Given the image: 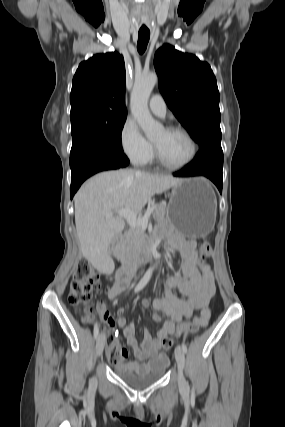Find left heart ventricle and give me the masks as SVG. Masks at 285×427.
<instances>
[{"label": "left heart ventricle", "instance_id": "left-heart-ventricle-1", "mask_svg": "<svg viewBox=\"0 0 285 427\" xmlns=\"http://www.w3.org/2000/svg\"><path fill=\"white\" fill-rule=\"evenodd\" d=\"M152 141L158 147L162 158L170 164L182 163L188 158L191 151L189 141L181 133L162 129Z\"/></svg>", "mask_w": 285, "mask_h": 427}]
</instances>
